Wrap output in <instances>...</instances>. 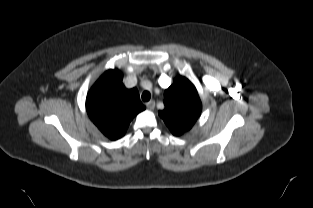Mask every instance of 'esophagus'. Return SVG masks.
<instances>
[{"mask_svg":"<svg viewBox=\"0 0 313 208\" xmlns=\"http://www.w3.org/2000/svg\"><path fill=\"white\" fill-rule=\"evenodd\" d=\"M146 107L149 109V110H153L155 108V101H149L146 103Z\"/></svg>","mask_w":313,"mask_h":208,"instance_id":"34e87169","label":"esophagus"}]
</instances>
